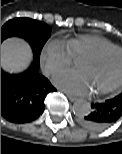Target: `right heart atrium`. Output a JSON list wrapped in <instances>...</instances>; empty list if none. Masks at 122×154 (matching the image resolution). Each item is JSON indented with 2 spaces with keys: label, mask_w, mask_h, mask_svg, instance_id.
I'll list each match as a JSON object with an SVG mask.
<instances>
[{
  "label": "right heart atrium",
  "mask_w": 122,
  "mask_h": 154,
  "mask_svg": "<svg viewBox=\"0 0 122 154\" xmlns=\"http://www.w3.org/2000/svg\"><path fill=\"white\" fill-rule=\"evenodd\" d=\"M41 61L47 74H53L69 66L73 56L66 41L52 38L46 42L41 52Z\"/></svg>",
  "instance_id": "1"
}]
</instances>
